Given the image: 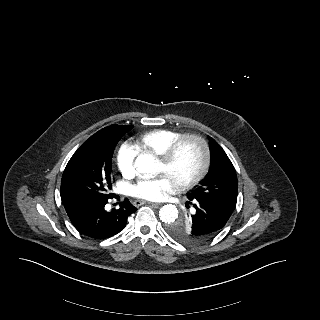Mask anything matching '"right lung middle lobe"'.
Returning <instances> with one entry per match:
<instances>
[{"instance_id":"right-lung-middle-lobe-1","label":"right lung middle lobe","mask_w":320,"mask_h":320,"mask_svg":"<svg viewBox=\"0 0 320 320\" xmlns=\"http://www.w3.org/2000/svg\"><path fill=\"white\" fill-rule=\"evenodd\" d=\"M126 128H103L87 139L69 160L61 180V198L107 199L114 179L112 156Z\"/></svg>"}]
</instances>
